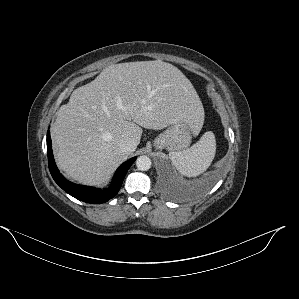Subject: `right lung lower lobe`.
Returning a JSON list of instances; mask_svg holds the SVG:
<instances>
[{
	"instance_id": "right-lung-lower-lobe-1",
	"label": "right lung lower lobe",
	"mask_w": 299,
	"mask_h": 299,
	"mask_svg": "<svg viewBox=\"0 0 299 299\" xmlns=\"http://www.w3.org/2000/svg\"><path fill=\"white\" fill-rule=\"evenodd\" d=\"M47 155L49 170L55 182L74 198L92 204H101L113 198L118 193L128 169L136 160V157H133L124 162L115 173L111 186L107 189H99L74 184L59 173L53 157L49 131L47 132Z\"/></svg>"
}]
</instances>
